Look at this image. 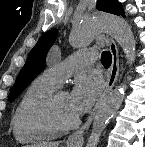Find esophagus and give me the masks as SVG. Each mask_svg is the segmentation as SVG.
<instances>
[{"mask_svg":"<svg viewBox=\"0 0 145 147\" xmlns=\"http://www.w3.org/2000/svg\"><path fill=\"white\" fill-rule=\"evenodd\" d=\"M109 49L112 55V63L111 66L109 68V71L106 75V88L104 90V92L101 94L99 100L97 101L93 111L91 112V114L89 115L87 121L85 122V124L78 129L77 131H75L74 133H72L69 137H68V142L69 143H73V142H81L83 141V136L84 134L89 130L90 125L94 119L96 110L99 106V103L107 96V94L112 90L113 86L115 85L118 75H119V70H120V65H119V51H118V47L115 43L114 40H110L109 42Z\"/></svg>","mask_w":145,"mask_h":147,"instance_id":"34e87169","label":"esophagus"}]
</instances>
